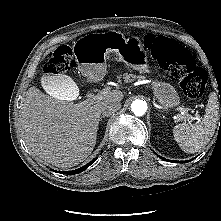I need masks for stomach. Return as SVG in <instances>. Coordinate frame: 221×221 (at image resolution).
Segmentation results:
<instances>
[{
  "label": "stomach",
  "mask_w": 221,
  "mask_h": 221,
  "mask_svg": "<svg viewBox=\"0 0 221 221\" xmlns=\"http://www.w3.org/2000/svg\"><path fill=\"white\" fill-rule=\"evenodd\" d=\"M79 42L85 46L77 54V65L80 72L90 80H101L107 70L109 53L115 52L119 60L127 67L141 74H150L147 54L138 37L126 39L117 31L93 33L83 37ZM152 89L156 99L165 107L173 108L179 104V97L174 88L165 82L153 81Z\"/></svg>",
  "instance_id": "obj_1"
}]
</instances>
